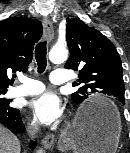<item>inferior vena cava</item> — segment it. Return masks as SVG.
Segmentation results:
<instances>
[{
    "label": "inferior vena cava",
    "mask_w": 130,
    "mask_h": 153,
    "mask_svg": "<svg viewBox=\"0 0 130 153\" xmlns=\"http://www.w3.org/2000/svg\"><path fill=\"white\" fill-rule=\"evenodd\" d=\"M39 131V126L38 124H31L29 127H28V133L29 135L31 136V138H34L35 135L38 133Z\"/></svg>",
    "instance_id": "obj_1"
}]
</instances>
